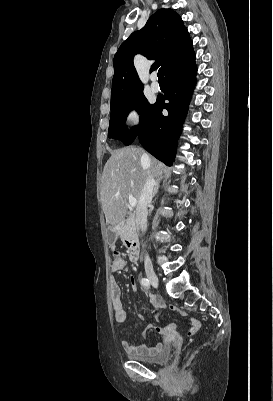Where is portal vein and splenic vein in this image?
Listing matches in <instances>:
<instances>
[{
  "label": "portal vein and splenic vein",
  "instance_id": "18ae733b",
  "mask_svg": "<svg viewBox=\"0 0 273 401\" xmlns=\"http://www.w3.org/2000/svg\"><path fill=\"white\" fill-rule=\"evenodd\" d=\"M128 198L130 207H136L137 201L136 198H134L133 194H129Z\"/></svg>",
  "mask_w": 273,
  "mask_h": 401
}]
</instances>
